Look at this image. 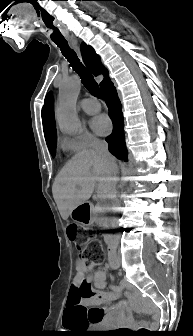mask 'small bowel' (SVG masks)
<instances>
[{"instance_id":"c3829d8e","label":"small bowel","mask_w":193,"mask_h":336,"mask_svg":"<svg viewBox=\"0 0 193 336\" xmlns=\"http://www.w3.org/2000/svg\"><path fill=\"white\" fill-rule=\"evenodd\" d=\"M106 272L96 269L94 263H87L81 259L76 261L74 275L68 294L67 309L64 325L70 327L76 323L84 326L103 325L110 327L121 323V316L129 313V306L133 297L128 293L127 298L113 303L123 292L124 284L111 287L105 291ZM94 288L91 297H83L82 291Z\"/></svg>"}]
</instances>
